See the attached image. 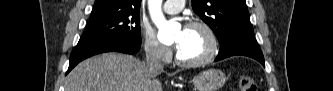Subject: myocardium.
Masks as SVG:
<instances>
[{
  "instance_id": "1",
  "label": "myocardium",
  "mask_w": 333,
  "mask_h": 91,
  "mask_svg": "<svg viewBox=\"0 0 333 91\" xmlns=\"http://www.w3.org/2000/svg\"><path fill=\"white\" fill-rule=\"evenodd\" d=\"M198 27L201 28L209 39V49L205 56L197 60H185L181 58L179 53H176V62L183 67H200L211 62L218 54L219 42L217 35L213 28L206 22L201 20H193L187 24V28Z\"/></svg>"
}]
</instances>
